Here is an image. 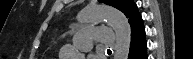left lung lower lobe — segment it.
<instances>
[{
  "mask_svg": "<svg viewBox=\"0 0 193 59\" xmlns=\"http://www.w3.org/2000/svg\"><path fill=\"white\" fill-rule=\"evenodd\" d=\"M131 44L128 59H147V45L143 20L138 11L130 18Z\"/></svg>",
  "mask_w": 193,
  "mask_h": 59,
  "instance_id": "left-lung-lower-lobe-1",
  "label": "left lung lower lobe"
}]
</instances>
